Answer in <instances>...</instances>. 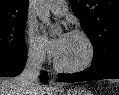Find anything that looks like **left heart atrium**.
I'll use <instances>...</instances> for the list:
<instances>
[{
    "label": "left heart atrium",
    "mask_w": 119,
    "mask_h": 95,
    "mask_svg": "<svg viewBox=\"0 0 119 95\" xmlns=\"http://www.w3.org/2000/svg\"><path fill=\"white\" fill-rule=\"evenodd\" d=\"M68 37H69V33H63L55 40H48L46 36L44 37L49 52L55 58H57L61 54Z\"/></svg>",
    "instance_id": "39dd6f15"
}]
</instances>
